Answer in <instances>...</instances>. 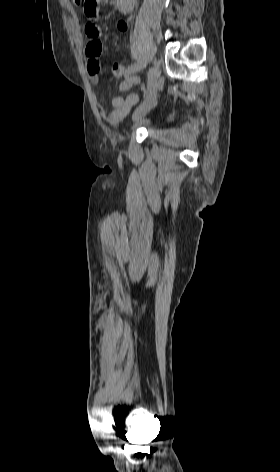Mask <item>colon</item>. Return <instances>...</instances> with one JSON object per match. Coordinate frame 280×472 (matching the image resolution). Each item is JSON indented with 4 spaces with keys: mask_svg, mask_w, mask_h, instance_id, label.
<instances>
[{
    "mask_svg": "<svg viewBox=\"0 0 280 472\" xmlns=\"http://www.w3.org/2000/svg\"><path fill=\"white\" fill-rule=\"evenodd\" d=\"M74 3L82 8L83 12L85 15L91 19L94 20L99 11V2L101 0H73ZM125 66L121 64H115L113 66V74L116 78H123L125 76Z\"/></svg>",
    "mask_w": 280,
    "mask_h": 472,
    "instance_id": "1",
    "label": "colon"
}]
</instances>
